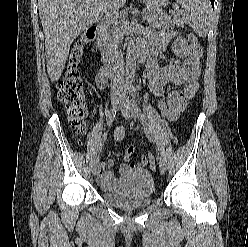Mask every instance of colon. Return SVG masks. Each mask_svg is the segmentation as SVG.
I'll use <instances>...</instances> for the list:
<instances>
[{
  "mask_svg": "<svg viewBox=\"0 0 248 247\" xmlns=\"http://www.w3.org/2000/svg\"><path fill=\"white\" fill-rule=\"evenodd\" d=\"M93 40H95V27L91 26L82 33L74 44L64 76L57 83L58 98L66 109L71 128L78 135L85 134L87 130L88 111L84 85L77 70V65L80 62L83 47ZM188 40L191 44H198V39L193 34L188 36ZM158 107L161 115L168 119L169 104L164 95L160 97ZM147 159L150 169L155 170L156 160L151 151L148 152Z\"/></svg>",
  "mask_w": 248,
  "mask_h": 247,
  "instance_id": "5ec220e1",
  "label": "colon"
}]
</instances>
